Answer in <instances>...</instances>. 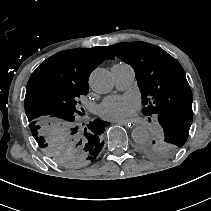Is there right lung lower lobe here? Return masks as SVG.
Masks as SVG:
<instances>
[{
	"label": "right lung lower lobe",
	"instance_id": "right-lung-lower-lobe-1",
	"mask_svg": "<svg viewBox=\"0 0 211 211\" xmlns=\"http://www.w3.org/2000/svg\"><path fill=\"white\" fill-rule=\"evenodd\" d=\"M104 145V141H102L101 139L99 140V142H97L90 150V158L92 161H94L96 159V157L99 155V153L101 152V149Z\"/></svg>",
	"mask_w": 211,
	"mask_h": 211
}]
</instances>
